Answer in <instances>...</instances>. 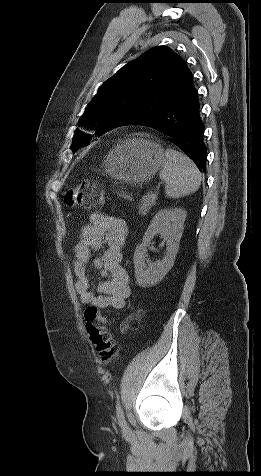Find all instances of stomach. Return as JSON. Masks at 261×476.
Segmentation results:
<instances>
[{
  "label": "stomach",
  "instance_id": "stomach-1",
  "mask_svg": "<svg viewBox=\"0 0 261 476\" xmlns=\"http://www.w3.org/2000/svg\"><path fill=\"white\" fill-rule=\"evenodd\" d=\"M164 162V150L159 144L144 138H128L107 153L103 166L116 179L140 184L150 179Z\"/></svg>",
  "mask_w": 261,
  "mask_h": 476
}]
</instances>
